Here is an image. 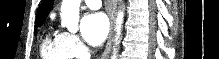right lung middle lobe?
Returning <instances> with one entry per match:
<instances>
[{
	"mask_svg": "<svg viewBox=\"0 0 219 59\" xmlns=\"http://www.w3.org/2000/svg\"><path fill=\"white\" fill-rule=\"evenodd\" d=\"M39 26H41V25H37L36 27H39ZM34 33H36V29L34 30Z\"/></svg>",
	"mask_w": 219,
	"mask_h": 59,
	"instance_id": "obj_1",
	"label": "right lung middle lobe"
}]
</instances>
